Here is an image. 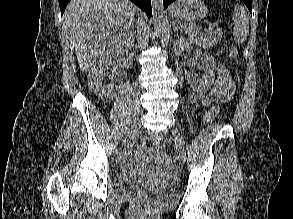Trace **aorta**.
<instances>
[{"label":"aorta","instance_id":"aorta-1","mask_svg":"<svg viewBox=\"0 0 293 219\" xmlns=\"http://www.w3.org/2000/svg\"><path fill=\"white\" fill-rule=\"evenodd\" d=\"M152 20L155 29L163 38L166 30L167 18L164 13L163 0H151Z\"/></svg>","mask_w":293,"mask_h":219}]
</instances>
